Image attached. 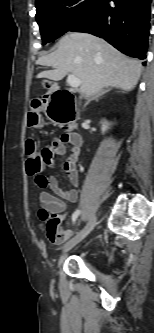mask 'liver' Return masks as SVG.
Listing matches in <instances>:
<instances>
[{
  "label": "liver",
  "mask_w": 154,
  "mask_h": 333,
  "mask_svg": "<svg viewBox=\"0 0 154 333\" xmlns=\"http://www.w3.org/2000/svg\"><path fill=\"white\" fill-rule=\"evenodd\" d=\"M36 63L54 68L39 73L37 78L60 81L67 74L76 76L85 98L109 86L131 91L142 71L139 60L127 57L103 39L86 33L63 36L57 49L39 57Z\"/></svg>",
  "instance_id": "1"
}]
</instances>
